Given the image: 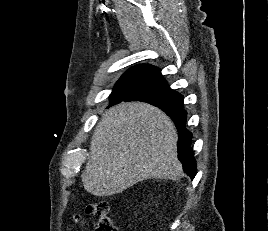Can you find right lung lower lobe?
Segmentation results:
<instances>
[{
	"mask_svg": "<svg viewBox=\"0 0 268 231\" xmlns=\"http://www.w3.org/2000/svg\"><path fill=\"white\" fill-rule=\"evenodd\" d=\"M162 110L174 121L178 130V158L184 172L193 179L197 173L196 162L191 148L192 134L186 129L187 113L181 107H167Z\"/></svg>",
	"mask_w": 268,
	"mask_h": 231,
	"instance_id": "right-lung-lower-lobe-1",
	"label": "right lung lower lobe"
}]
</instances>
